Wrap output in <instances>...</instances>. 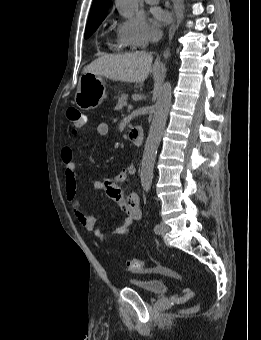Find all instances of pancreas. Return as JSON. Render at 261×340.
I'll return each mask as SVG.
<instances>
[{"label": "pancreas", "mask_w": 261, "mask_h": 340, "mask_svg": "<svg viewBox=\"0 0 261 340\" xmlns=\"http://www.w3.org/2000/svg\"><path fill=\"white\" fill-rule=\"evenodd\" d=\"M127 99H128V95L126 94H122L120 97H118V103L115 107V110H121L124 106H126Z\"/></svg>", "instance_id": "pancreas-1"}]
</instances>
